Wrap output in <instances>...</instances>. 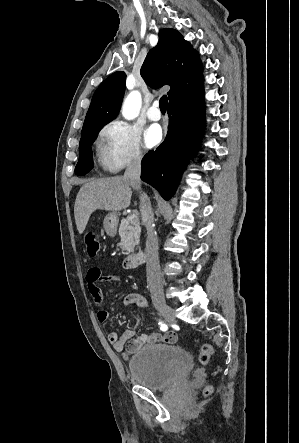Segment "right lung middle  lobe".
Returning <instances> with one entry per match:
<instances>
[{"label":"right lung middle lobe","mask_w":299,"mask_h":443,"mask_svg":"<svg viewBox=\"0 0 299 443\" xmlns=\"http://www.w3.org/2000/svg\"><path fill=\"white\" fill-rule=\"evenodd\" d=\"M102 127L95 128L82 135L80 140L79 161L75 168L77 175H85L93 168L91 144L96 139Z\"/></svg>","instance_id":"1"}]
</instances>
